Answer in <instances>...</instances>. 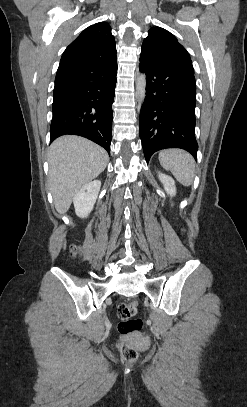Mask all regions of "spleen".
Instances as JSON below:
<instances>
[{"mask_svg": "<svg viewBox=\"0 0 247 407\" xmlns=\"http://www.w3.org/2000/svg\"><path fill=\"white\" fill-rule=\"evenodd\" d=\"M161 166L171 171L176 180L184 186H190L195 177V161L186 151L166 149L159 152Z\"/></svg>", "mask_w": 247, "mask_h": 407, "instance_id": "spleen-1", "label": "spleen"}]
</instances>
